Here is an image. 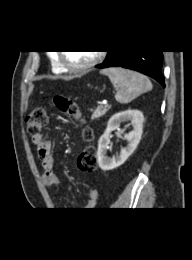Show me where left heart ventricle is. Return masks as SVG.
<instances>
[{
  "label": "left heart ventricle",
  "mask_w": 192,
  "mask_h": 260,
  "mask_svg": "<svg viewBox=\"0 0 192 260\" xmlns=\"http://www.w3.org/2000/svg\"><path fill=\"white\" fill-rule=\"evenodd\" d=\"M96 56V52L92 51H68L65 58L69 64L79 66L86 64Z\"/></svg>",
  "instance_id": "obj_1"
}]
</instances>
